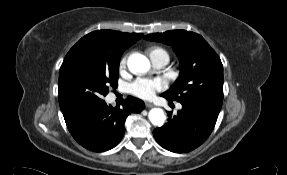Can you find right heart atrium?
<instances>
[{
  "instance_id": "d8ad5b80",
  "label": "right heart atrium",
  "mask_w": 287,
  "mask_h": 175,
  "mask_svg": "<svg viewBox=\"0 0 287 175\" xmlns=\"http://www.w3.org/2000/svg\"><path fill=\"white\" fill-rule=\"evenodd\" d=\"M126 63H127V56L125 55L121 58L119 63V67L121 70H123L126 67Z\"/></svg>"
}]
</instances>
